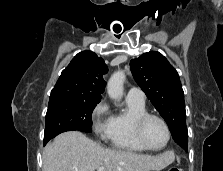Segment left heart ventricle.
Segmentation results:
<instances>
[{
  "mask_svg": "<svg viewBox=\"0 0 223 171\" xmlns=\"http://www.w3.org/2000/svg\"><path fill=\"white\" fill-rule=\"evenodd\" d=\"M145 140L152 147H161L167 139L164 125L157 119H149L143 129Z\"/></svg>",
  "mask_w": 223,
  "mask_h": 171,
  "instance_id": "obj_1",
  "label": "left heart ventricle"
}]
</instances>
